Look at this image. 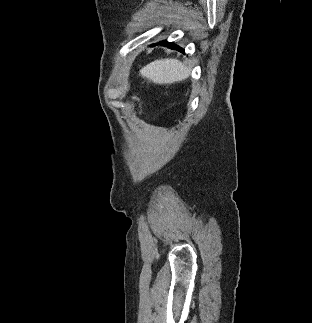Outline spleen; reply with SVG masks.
<instances>
[{"label":"spleen","mask_w":312,"mask_h":323,"mask_svg":"<svg viewBox=\"0 0 312 323\" xmlns=\"http://www.w3.org/2000/svg\"><path fill=\"white\" fill-rule=\"evenodd\" d=\"M143 78H148L154 84H173L182 82L190 76V68H185L179 60H155L140 70Z\"/></svg>","instance_id":"obj_1"}]
</instances>
